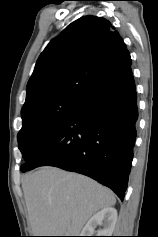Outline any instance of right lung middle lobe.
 <instances>
[{
  "instance_id": "right-lung-middle-lobe-1",
  "label": "right lung middle lobe",
  "mask_w": 158,
  "mask_h": 237,
  "mask_svg": "<svg viewBox=\"0 0 158 237\" xmlns=\"http://www.w3.org/2000/svg\"><path fill=\"white\" fill-rule=\"evenodd\" d=\"M84 101L54 98L22 112V129L18 133V147L22 152L24 169L41 144L66 122Z\"/></svg>"
}]
</instances>
